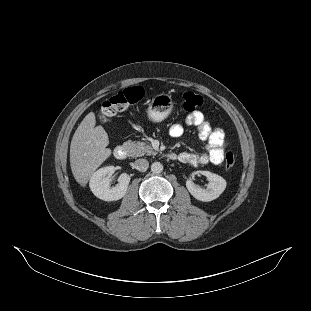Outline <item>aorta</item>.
Masks as SVG:
<instances>
[{"instance_id":"obj_1","label":"aorta","mask_w":311,"mask_h":311,"mask_svg":"<svg viewBox=\"0 0 311 311\" xmlns=\"http://www.w3.org/2000/svg\"><path fill=\"white\" fill-rule=\"evenodd\" d=\"M151 171L155 174H159L163 171V165L160 162H154L151 165Z\"/></svg>"}]
</instances>
